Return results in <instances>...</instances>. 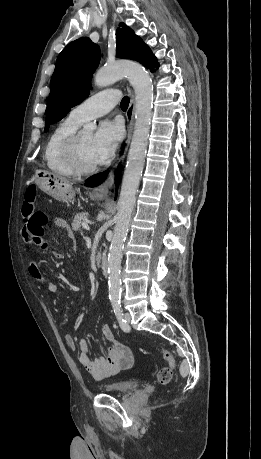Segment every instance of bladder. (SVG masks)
<instances>
[{
	"label": "bladder",
	"instance_id": "bladder-1",
	"mask_svg": "<svg viewBox=\"0 0 261 459\" xmlns=\"http://www.w3.org/2000/svg\"><path fill=\"white\" fill-rule=\"evenodd\" d=\"M138 389V383L134 381H120L105 384L102 386V390L110 393H121L128 394Z\"/></svg>",
	"mask_w": 261,
	"mask_h": 459
}]
</instances>
